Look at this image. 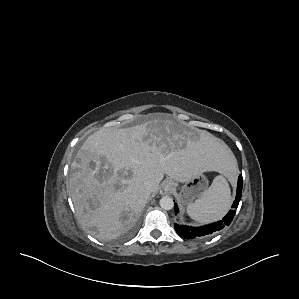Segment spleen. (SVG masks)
Segmentation results:
<instances>
[{
    "label": "spleen",
    "instance_id": "spleen-1",
    "mask_svg": "<svg viewBox=\"0 0 299 299\" xmlns=\"http://www.w3.org/2000/svg\"><path fill=\"white\" fill-rule=\"evenodd\" d=\"M231 203L230 187L222 175L215 177L211 186L187 206L188 215L202 223L221 219L228 211Z\"/></svg>",
    "mask_w": 299,
    "mask_h": 299
}]
</instances>
